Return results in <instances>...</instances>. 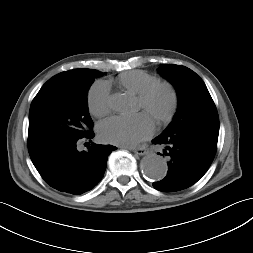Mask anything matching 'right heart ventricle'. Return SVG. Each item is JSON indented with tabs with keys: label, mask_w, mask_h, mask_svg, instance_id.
<instances>
[{
	"label": "right heart ventricle",
	"mask_w": 253,
	"mask_h": 253,
	"mask_svg": "<svg viewBox=\"0 0 253 253\" xmlns=\"http://www.w3.org/2000/svg\"><path fill=\"white\" fill-rule=\"evenodd\" d=\"M158 81L156 76L142 70L124 72L118 77V83L124 89L138 95Z\"/></svg>",
	"instance_id": "e07e8e85"
}]
</instances>
